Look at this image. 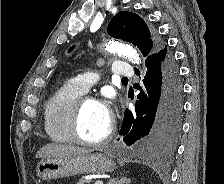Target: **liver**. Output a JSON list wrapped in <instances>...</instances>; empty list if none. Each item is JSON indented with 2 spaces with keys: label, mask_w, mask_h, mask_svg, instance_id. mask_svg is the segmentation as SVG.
Here are the masks:
<instances>
[{
  "label": "liver",
  "mask_w": 224,
  "mask_h": 184,
  "mask_svg": "<svg viewBox=\"0 0 224 184\" xmlns=\"http://www.w3.org/2000/svg\"><path fill=\"white\" fill-rule=\"evenodd\" d=\"M89 152H91V150L76 146L50 143L39 149L36 153V158H58Z\"/></svg>",
  "instance_id": "liver-1"
}]
</instances>
